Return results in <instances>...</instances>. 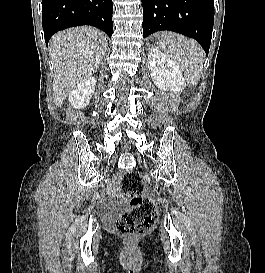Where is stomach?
<instances>
[{
	"label": "stomach",
	"instance_id": "0dacf381",
	"mask_svg": "<svg viewBox=\"0 0 265 273\" xmlns=\"http://www.w3.org/2000/svg\"><path fill=\"white\" fill-rule=\"evenodd\" d=\"M149 45H166V40H149Z\"/></svg>",
	"mask_w": 265,
	"mask_h": 273
}]
</instances>
